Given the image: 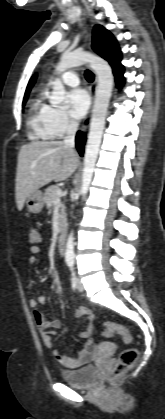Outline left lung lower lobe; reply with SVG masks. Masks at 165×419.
Here are the masks:
<instances>
[{
    "instance_id": "obj_1",
    "label": "left lung lower lobe",
    "mask_w": 165,
    "mask_h": 419,
    "mask_svg": "<svg viewBox=\"0 0 165 419\" xmlns=\"http://www.w3.org/2000/svg\"><path fill=\"white\" fill-rule=\"evenodd\" d=\"M121 59H122V56L120 53L112 62H110V65L112 66L113 73L116 78V83L119 88L124 84V80H125L123 77L124 67L121 64Z\"/></svg>"
}]
</instances>
